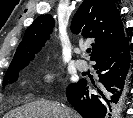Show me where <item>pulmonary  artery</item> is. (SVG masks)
Here are the masks:
<instances>
[{
	"label": "pulmonary artery",
	"instance_id": "pulmonary-artery-1",
	"mask_svg": "<svg viewBox=\"0 0 133 118\" xmlns=\"http://www.w3.org/2000/svg\"><path fill=\"white\" fill-rule=\"evenodd\" d=\"M81 51H84V49H82ZM76 67L80 71H86V70H88L89 65H88L86 60L79 59V60L76 61Z\"/></svg>",
	"mask_w": 133,
	"mask_h": 118
}]
</instances>
